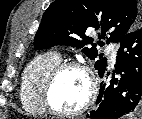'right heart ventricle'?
I'll use <instances>...</instances> for the list:
<instances>
[{
    "label": "right heart ventricle",
    "mask_w": 142,
    "mask_h": 119,
    "mask_svg": "<svg viewBox=\"0 0 142 119\" xmlns=\"http://www.w3.org/2000/svg\"><path fill=\"white\" fill-rule=\"evenodd\" d=\"M61 63L56 52H46L35 57L24 70L20 85V101L24 110L34 115L46 114L41 93L49 73Z\"/></svg>",
    "instance_id": "1"
}]
</instances>
